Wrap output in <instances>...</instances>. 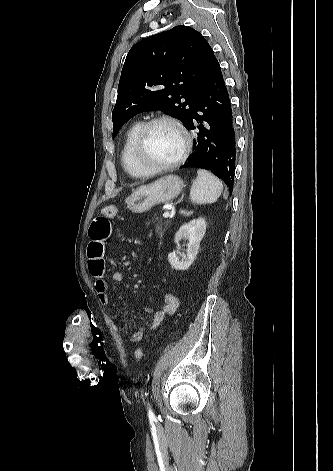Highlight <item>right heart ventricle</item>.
I'll list each match as a JSON object with an SVG mask.
<instances>
[{"label": "right heart ventricle", "mask_w": 333, "mask_h": 471, "mask_svg": "<svg viewBox=\"0 0 333 471\" xmlns=\"http://www.w3.org/2000/svg\"><path fill=\"white\" fill-rule=\"evenodd\" d=\"M142 125L143 122L140 121L133 122L131 125H129L123 136L120 153L123 169L128 175L134 178H140L148 175L136 165L133 157L134 142Z\"/></svg>", "instance_id": "obj_1"}]
</instances>
